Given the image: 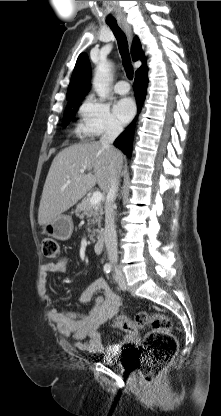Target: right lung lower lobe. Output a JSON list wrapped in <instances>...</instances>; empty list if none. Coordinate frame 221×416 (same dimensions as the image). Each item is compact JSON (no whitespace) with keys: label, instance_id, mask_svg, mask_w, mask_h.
I'll return each instance as SVG.
<instances>
[{"label":"right lung lower lobe","instance_id":"98d812e1","mask_svg":"<svg viewBox=\"0 0 221 416\" xmlns=\"http://www.w3.org/2000/svg\"><path fill=\"white\" fill-rule=\"evenodd\" d=\"M147 86H148L147 70L136 73L133 88L135 91L138 111L141 110V107L145 100ZM134 123H135V120L114 142V145L120 150H122L123 153L126 154L128 157L131 156Z\"/></svg>","mask_w":221,"mask_h":416}]
</instances>
